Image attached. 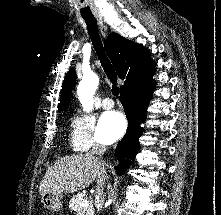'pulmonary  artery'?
Here are the masks:
<instances>
[{
    "mask_svg": "<svg viewBox=\"0 0 221 215\" xmlns=\"http://www.w3.org/2000/svg\"><path fill=\"white\" fill-rule=\"evenodd\" d=\"M114 106V101L111 98H105L102 101V107L104 109H111Z\"/></svg>",
    "mask_w": 221,
    "mask_h": 215,
    "instance_id": "pulmonary-artery-1",
    "label": "pulmonary artery"
}]
</instances>
